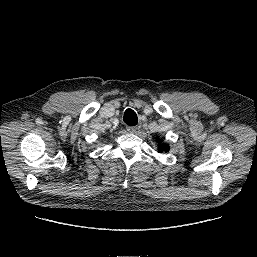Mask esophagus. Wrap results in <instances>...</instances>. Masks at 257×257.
<instances>
[{"label":"esophagus","mask_w":257,"mask_h":257,"mask_svg":"<svg viewBox=\"0 0 257 257\" xmlns=\"http://www.w3.org/2000/svg\"><path fill=\"white\" fill-rule=\"evenodd\" d=\"M126 130H127L129 133H135L136 130H137V127H136V126H127V127H126Z\"/></svg>","instance_id":"1"}]
</instances>
